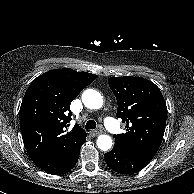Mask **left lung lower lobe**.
Listing matches in <instances>:
<instances>
[{"label":"left lung lower lobe","instance_id":"left-lung-lower-lobe-1","mask_svg":"<svg viewBox=\"0 0 194 194\" xmlns=\"http://www.w3.org/2000/svg\"><path fill=\"white\" fill-rule=\"evenodd\" d=\"M104 158L110 169L128 175L142 170L151 161L117 145Z\"/></svg>","mask_w":194,"mask_h":194}]
</instances>
